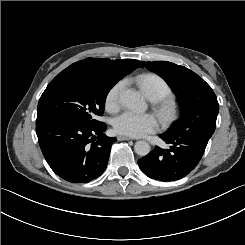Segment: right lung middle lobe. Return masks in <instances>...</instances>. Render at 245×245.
Returning <instances> with one entry per match:
<instances>
[{"label": "right lung middle lobe", "instance_id": "obj_1", "mask_svg": "<svg viewBox=\"0 0 245 245\" xmlns=\"http://www.w3.org/2000/svg\"><path fill=\"white\" fill-rule=\"evenodd\" d=\"M103 71L69 66L43 92L36 125L48 122L96 124L103 114L110 89L120 80Z\"/></svg>", "mask_w": 245, "mask_h": 245}]
</instances>
